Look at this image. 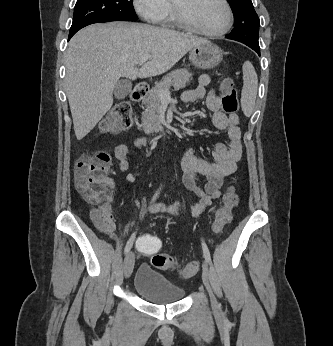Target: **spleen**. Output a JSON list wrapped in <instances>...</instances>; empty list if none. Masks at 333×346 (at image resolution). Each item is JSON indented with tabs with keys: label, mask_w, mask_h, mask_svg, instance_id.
<instances>
[{
	"label": "spleen",
	"mask_w": 333,
	"mask_h": 346,
	"mask_svg": "<svg viewBox=\"0 0 333 346\" xmlns=\"http://www.w3.org/2000/svg\"><path fill=\"white\" fill-rule=\"evenodd\" d=\"M243 89L241 93V107L246 116L253 113L258 90V78L254 66L246 61L243 64Z\"/></svg>",
	"instance_id": "1"
}]
</instances>
